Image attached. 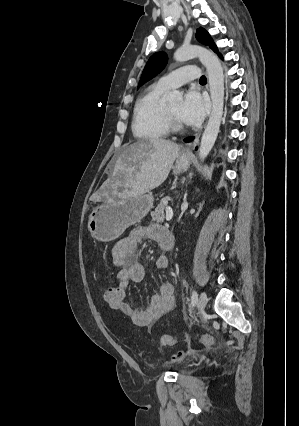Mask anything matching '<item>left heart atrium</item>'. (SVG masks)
I'll use <instances>...</instances> for the list:
<instances>
[{"instance_id": "39dd6f15", "label": "left heart atrium", "mask_w": 299, "mask_h": 426, "mask_svg": "<svg viewBox=\"0 0 299 426\" xmlns=\"http://www.w3.org/2000/svg\"><path fill=\"white\" fill-rule=\"evenodd\" d=\"M207 106L202 96L190 90L186 93L180 109V119L187 125H198L206 114Z\"/></svg>"}]
</instances>
